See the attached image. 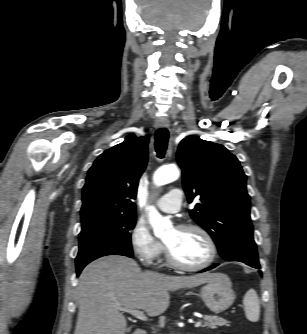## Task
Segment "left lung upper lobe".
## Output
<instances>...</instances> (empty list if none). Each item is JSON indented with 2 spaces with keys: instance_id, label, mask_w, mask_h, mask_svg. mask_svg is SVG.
<instances>
[{
  "instance_id": "obj_1",
  "label": "left lung upper lobe",
  "mask_w": 307,
  "mask_h": 334,
  "mask_svg": "<svg viewBox=\"0 0 307 334\" xmlns=\"http://www.w3.org/2000/svg\"><path fill=\"white\" fill-rule=\"evenodd\" d=\"M177 161L188 202L200 196L190 215L211 235L219 254L226 255L236 239H253L246 175L238 159L220 144L189 136L179 144Z\"/></svg>"
}]
</instances>
